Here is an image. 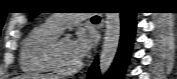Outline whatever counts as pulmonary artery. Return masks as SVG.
Returning a JSON list of instances; mask_svg holds the SVG:
<instances>
[{
    "label": "pulmonary artery",
    "instance_id": "e3ab8cb5",
    "mask_svg": "<svg viewBox=\"0 0 177 79\" xmlns=\"http://www.w3.org/2000/svg\"><path fill=\"white\" fill-rule=\"evenodd\" d=\"M89 14H52L47 22L59 31L64 30L67 26L83 21Z\"/></svg>",
    "mask_w": 177,
    "mask_h": 79
}]
</instances>
